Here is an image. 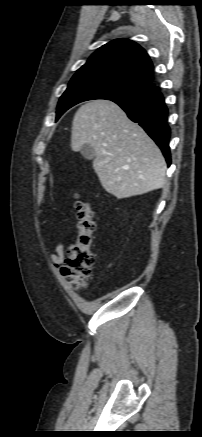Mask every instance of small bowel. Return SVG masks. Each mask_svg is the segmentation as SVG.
I'll use <instances>...</instances> for the list:
<instances>
[{
    "instance_id": "obj_1",
    "label": "small bowel",
    "mask_w": 202,
    "mask_h": 437,
    "mask_svg": "<svg viewBox=\"0 0 202 437\" xmlns=\"http://www.w3.org/2000/svg\"><path fill=\"white\" fill-rule=\"evenodd\" d=\"M54 266L58 267L64 259V246L61 241H57L55 251L50 254Z\"/></svg>"
}]
</instances>
